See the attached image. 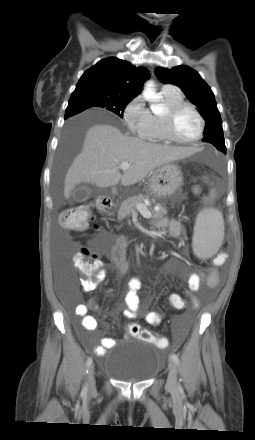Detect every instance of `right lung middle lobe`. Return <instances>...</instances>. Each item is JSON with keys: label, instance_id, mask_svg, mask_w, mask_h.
Segmentation results:
<instances>
[{"label": "right lung middle lobe", "instance_id": "dd1d6c3e", "mask_svg": "<svg viewBox=\"0 0 255 440\" xmlns=\"http://www.w3.org/2000/svg\"><path fill=\"white\" fill-rule=\"evenodd\" d=\"M132 99L120 96H111L100 92H79L72 93L65 118L78 114L91 107L104 108L123 118L125 107Z\"/></svg>", "mask_w": 255, "mask_h": 440}]
</instances>
